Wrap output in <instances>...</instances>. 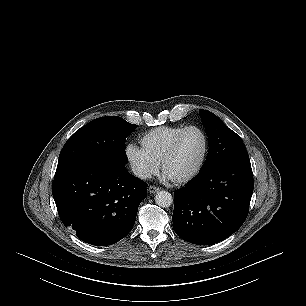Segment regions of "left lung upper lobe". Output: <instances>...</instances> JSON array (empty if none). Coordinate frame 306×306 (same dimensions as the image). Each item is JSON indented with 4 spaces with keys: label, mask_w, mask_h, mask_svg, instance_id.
I'll return each mask as SVG.
<instances>
[{
    "label": "left lung upper lobe",
    "mask_w": 306,
    "mask_h": 306,
    "mask_svg": "<svg viewBox=\"0 0 306 306\" xmlns=\"http://www.w3.org/2000/svg\"><path fill=\"white\" fill-rule=\"evenodd\" d=\"M199 112L209 144L208 156L200 172L222 162L249 159L242 139L234 131L212 112L204 109H199Z\"/></svg>",
    "instance_id": "1"
}]
</instances>
